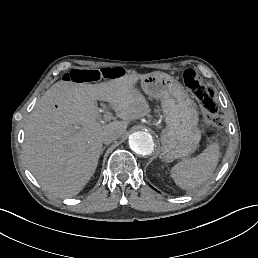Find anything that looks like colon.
<instances>
[{
  "label": "colon",
  "mask_w": 258,
  "mask_h": 258,
  "mask_svg": "<svg viewBox=\"0 0 258 258\" xmlns=\"http://www.w3.org/2000/svg\"><path fill=\"white\" fill-rule=\"evenodd\" d=\"M121 76V68L108 67L101 69H73L67 72L64 79L74 83H95L101 80H113ZM182 81L192 91L200 106L208 113L217 112L213 91L204 85L199 74L187 69L182 74Z\"/></svg>",
  "instance_id": "1"
}]
</instances>
